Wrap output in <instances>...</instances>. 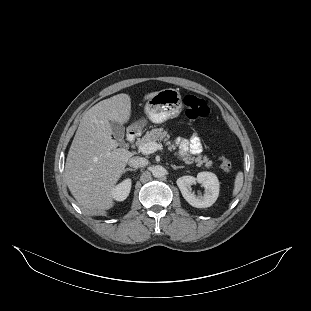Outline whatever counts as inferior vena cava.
I'll list each match as a JSON object with an SVG mask.
<instances>
[{
	"label": "inferior vena cava",
	"instance_id": "inferior-vena-cava-1",
	"mask_svg": "<svg viewBox=\"0 0 311 311\" xmlns=\"http://www.w3.org/2000/svg\"><path fill=\"white\" fill-rule=\"evenodd\" d=\"M148 164V161L144 157L140 156H133L132 158L129 159L128 165L132 168L139 169Z\"/></svg>",
	"mask_w": 311,
	"mask_h": 311
}]
</instances>
